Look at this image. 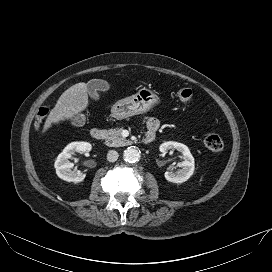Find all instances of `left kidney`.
Returning a JSON list of instances; mask_svg holds the SVG:
<instances>
[{
    "instance_id": "5707ae66",
    "label": "left kidney",
    "mask_w": 272,
    "mask_h": 272,
    "mask_svg": "<svg viewBox=\"0 0 272 272\" xmlns=\"http://www.w3.org/2000/svg\"><path fill=\"white\" fill-rule=\"evenodd\" d=\"M159 149L162 153L176 149L182 154L183 157V161L178 164V166L182 167V169H179L177 172H165V178L167 181L179 184L187 181L193 175L195 170V161L189 148L186 145L178 142L168 141L161 144Z\"/></svg>"
}]
</instances>
